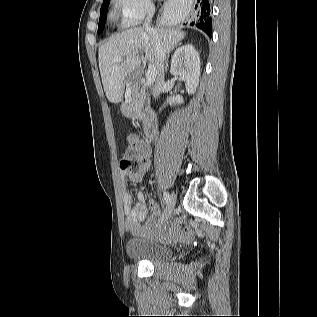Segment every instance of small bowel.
<instances>
[{
  "mask_svg": "<svg viewBox=\"0 0 317 317\" xmlns=\"http://www.w3.org/2000/svg\"><path fill=\"white\" fill-rule=\"evenodd\" d=\"M141 150L142 158L145 165V171L149 168V148L143 142H138ZM122 192H123V204L125 212V225L126 230L133 235H138L147 230L152 232V236L165 241L180 240L189 237L193 230L190 227L183 228L179 221L172 220L160 225L156 228L155 216L160 214V209L156 203L150 202V208L153 217L150 218L144 226L139 222L144 221L147 216V208L145 204V196L142 192H139L135 201L131 194L127 191V185L129 183L126 172L121 174Z\"/></svg>",
  "mask_w": 317,
  "mask_h": 317,
  "instance_id": "c3829d8e",
  "label": "small bowel"
}]
</instances>
